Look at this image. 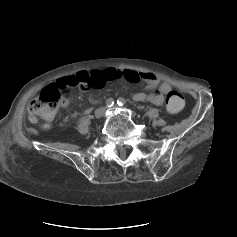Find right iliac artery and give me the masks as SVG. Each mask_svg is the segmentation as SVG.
Wrapping results in <instances>:
<instances>
[{
	"mask_svg": "<svg viewBox=\"0 0 237 237\" xmlns=\"http://www.w3.org/2000/svg\"><path fill=\"white\" fill-rule=\"evenodd\" d=\"M114 104V100L112 98H109L106 100V106L107 107H112Z\"/></svg>",
	"mask_w": 237,
	"mask_h": 237,
	"instance_id": "obj_1",
	"label": "right iliac artery"
}]
</instances>
